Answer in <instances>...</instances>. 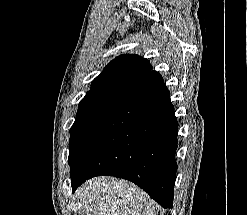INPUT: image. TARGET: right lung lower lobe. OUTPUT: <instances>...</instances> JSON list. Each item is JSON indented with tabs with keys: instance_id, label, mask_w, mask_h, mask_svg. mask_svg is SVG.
<instances>
[{
	"instance_id": "1",
	"label": "right lung lower lobe",
	"mask_w": 247,
	"mask_h": 215,
	"mask_svg": "<svg viewBox=\"0 0 247 215\" xmlns=\"http://www.w3.org/2000/svg\"><path fill=\"white\" fill-rule=\"evenodd\" d=\"M178 122L162 76L152 71L84 136L70 166L74 192L98 175L130 180L173 207Z\"/></svg>"
}]
</instances>
